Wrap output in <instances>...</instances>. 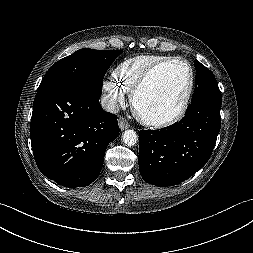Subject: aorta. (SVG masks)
Here are the masks:
<instances>
[{
	"label": "aorta",
	"mask_w": 253,
	"mask_h": 253,
	"mask_svg": "<svg viewBox=\"0 0 253 253\" xmlns=\"http://www.w3.org/2000/svg\"><path fill=\"white\" fill-rule=\"evenodd\" d=\"M138 136L134 130H126L123 134V142L128 146H133L137 143Z\"/></svg>",
	"instance_id": "obj_1"
}]
</instances>
